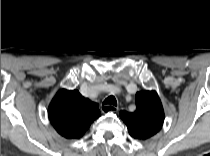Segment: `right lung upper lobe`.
Instances as JSON below:
<instances>
[{
  "mask_svg": "<svg viewBox=\"0 0 210 156\" xmlns=\"http://www.w3.org/2000/svg\"><path fill=\"white\" fill-rule=\"evenodd\" d=\"M100 115L98 104L84 98L78 90H59L48 108L51 124L67 139L80 138Z\"/></svg>",
  "mask_w": 210,
  "mask_h": 156,
  "instance_id": "obj_1",
  "label": "right lung upper lobe"
}]
</instances>
